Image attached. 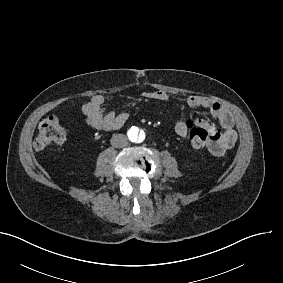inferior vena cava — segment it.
<instances>
[{"instance_id": "inferior-vena-cava-1", "label": "inferior vena cava", "mask_w": 283, "mask_h": 283, "mask_svg": "<svg viewBox=\"0 0 283 283\" xmlns=\"http://www.w3.org/2000/svg\"><path fill=\"white\" fill-rule=\"evenodd\" d=\"M111 145L115 148H124L128 144L127 136L124 134H114L110 140Z\"/></svg>"}]
</instances>
